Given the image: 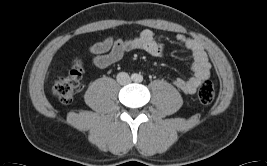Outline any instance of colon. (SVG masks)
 <instances>
[{"mask_svg": "<svg viewBox=\"0 0 267 166\" xmlns=\"http://www.w3.org/2000/svg\"><path fill=\"white\" fill-rule=\"evenodd\" d=\"M84 73V64L81 60H74L66 75L59 76L53 84V93L63 104L72 102L80 80ZM199 101L204 105L211 104L215 99V89L213 82L205 78L198 89Z\"/></svg>", "mask_w": 267, "mask_h": 166, "instance_id": "1", "label": "colon"}]
</instances>
